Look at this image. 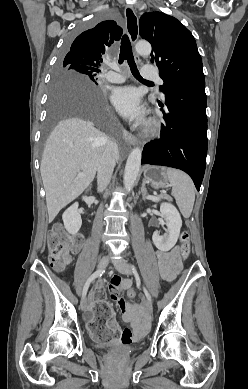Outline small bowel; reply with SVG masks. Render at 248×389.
I'll list each match as a JSON object with an SVG mask.
<instances>
[{"label":"small bowel","instance_id":"c3829d8e","mask_svg":"<svg viewBox=\"0 0 248 389\" xmlns=\"http://www.w3.org/2000/svg\"><path fill=\"white\" fill-rule=\"evenodd\" d=\"M180 249L174 247L170 251H156L158 269L161 277L166 281H173L181 270L179 259ZM111 285L107 286V291L112 302H114L122 312V319L130 325V328L123 330L120 341L123 344H131L142 339L149 330L148 322L145 318V304L128 303L121 296L122 291L132 288V280L123 279L118 272H112L110 277ZM87 318L93 319L92 307L87 312ZM112 330H116L114 321L109 323Z\"/></svg>","mask_w":248,"mask_h":389}]
</instances>
